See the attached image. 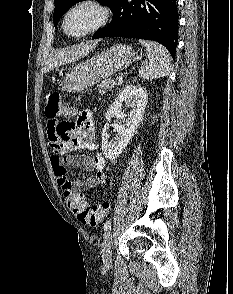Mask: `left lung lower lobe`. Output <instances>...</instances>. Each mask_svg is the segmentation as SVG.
<instances>
[{"mask_svg": "<svg viewBox=\"0 0 233 294\" xmlns=\"http://www.w3.org/2000/svg\"><path fill=\"white\" fill-rule=\"evenodd\" d=\"M113 19L92 39L130 37L161 43L175 58L178 36L176 0H118Z\"/></svg>", "mask_w": 233, "mask_h": 294, "instance_id": "left-lung-lower-lobe-1", "label": "left lung lower lobe"}]
</instances>
